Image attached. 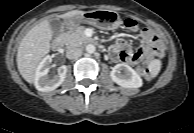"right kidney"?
I'll list each match as a JSON object with an SVG mask.
<instances>
[{
  "label": "right kidney",
  "instance_id": "ca27d5eb",
  "mask_svg": "<svg viewBox=\"0 0 194 133\" xmlns=\"http://www.w3.org/2000/svg\"><path fill=\"white\" fill-rule=\"evenodd\" d=\"M51 62L52 58L46 56L37 67L34 84L38 91L49 92L55 90L66 77L67 67L65 65L58 68L56 75H49Z\"/></svg>",
  "mask_w": 194,
  "mask_h": 133
}]
</instances>
